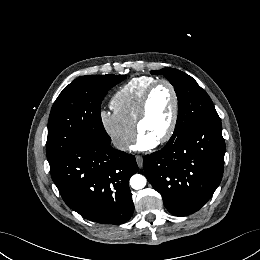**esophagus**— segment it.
Returning a JSON list of instances; mask_svg holds the SVG:
<instances>
[{
	"instance_id": "1",
	"label": "esophagus",
	"mask_w": 260,
	"mask_h": 260,
	"mask_svg": "<svg viewBox=\"0 0 260 260\" xmlns=\"http://www.w3.org/2000/svg\"><path fill=\"white\" fill-rule=\"evenodd\" d=\"M136 162H137V164H138V167L139 168H142V166H143V157L142 156H136Z\"/></svg>"
}]
</instances>
